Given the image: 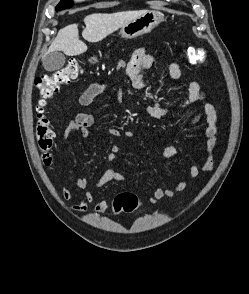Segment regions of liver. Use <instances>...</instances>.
Segmentation results:
<instances>
[{
  "instance_id": "liver-1",
  "label": "liver",
  "mask_w": 249,
  "mask_h": 294,
  "mask_svg": "<svg viewBox=\"0 0 249 294\" xmlns=\"http://www.w3.org/2000/svg\"><path fill=\"white\" fill-rule=\"evenodd\" d=\"M146 12L147 10H137L88 15L84 18L86 27L82 36L89 42H99ZM54 51H62L68 56L80 55L87 51V45L79 39L77 24H71L59 30L46 55Z\"/></svg>"
}]
</instances>
